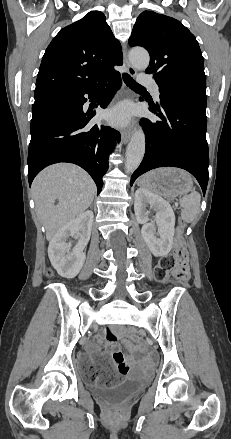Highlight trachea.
Masks as SVG:
<instances>
[{
    "instance_id": "3493384b",
    "label": "trachea",
    "mask_w": 231,
    "mask_h": 439,
    "mask_svg": "<svg viewBox=\"0 0 231 439\" xmlns=\"http://www.w3.org/2000/svg\"><path fill=\"white\" fill-rule=\"evenodd\" d=\"M123 80L125 82V84L132 88V89H139V90H145V88L143 86H141L140 84H138L130 75H128L127 73L123 74Z\"/></svg>"
}]
</instances>
